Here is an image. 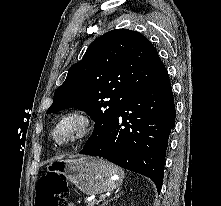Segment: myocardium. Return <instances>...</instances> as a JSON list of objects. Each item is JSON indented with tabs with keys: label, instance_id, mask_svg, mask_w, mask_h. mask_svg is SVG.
Wrapping results in <instances>:
<instances>
[{
	"label": "myocardium",
	"instance_id": "myocardium-1",
	"mask_svg": "<svg viewBox=\"0 0 221 206\" xmlns=\"http://www.w3.org/2000/svg\"><path fill=\"white\" fill-rule=\"evenodd\" d=\"M70 126L72 128L70 129ZM67 131L61 135L63 130ZM91 131V119L87 113L75 109L59 115L50 128L52 142L64 147L84 140Z\"/></svg>",
	"mask_w": 221,
	"mask_h": 206
}]
</instances>
